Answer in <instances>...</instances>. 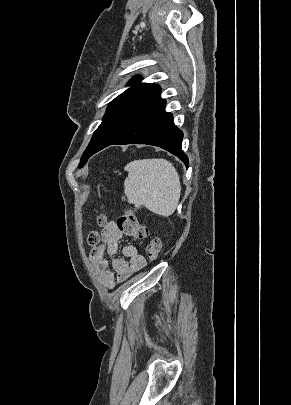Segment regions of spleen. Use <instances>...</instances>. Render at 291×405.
<instances>
[{"mask_svg":"<svg viewBox=\"0 0 291 405\" xmlns=\"http://www.w3.org/2000/svg\"><path fill=\"white\" fill-rule=\"evenodd\" d=\"M124 170V193L128 202L145 206L151 212L168 217L174 213L181 193L179 175L173 164L163 158L134 160Z\"/></svg>","mask_w":291,"mask_h":405,"instance_id":"spleen-1","label":"spleen"}]
</instances>
